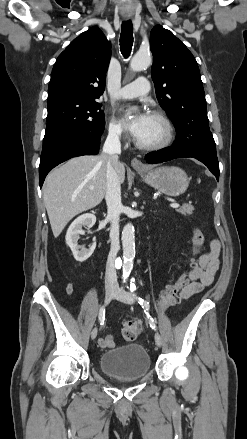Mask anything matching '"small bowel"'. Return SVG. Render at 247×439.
I'll return each mask as SVG.
<instances>
[{
    "instance_id": "obj_1",
    "label": "small bowel",
    "mask_w": 247,
    "mask_h": 439,
    "mask_svg": "<svg viewBox=\"0 0 247 439\" xmlns=\"http://www.w3.org/2000/svg\"><path fill=\"white\" fill-rule=\"evenodd\" d=\"M220 242L213 240L210 243V247L207 251L202 252L194 267L188 272L187 282L183 289L179 293V298L187 300L199 293L204 287L212 284L220 267ZM73 291L72 284H68L66 292L71 295ZM99 345L103 348L113 347L115 340L112 336L108 335L99 339Z\"/></svg>"
}]
</instances>
